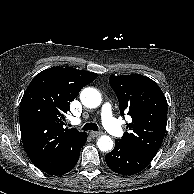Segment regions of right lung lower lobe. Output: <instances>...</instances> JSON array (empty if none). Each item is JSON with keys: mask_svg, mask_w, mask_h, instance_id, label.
I'll list each match as a JSON object with an SVG mask.
<instances>
[{"mask_svg": "<svg viewBox=\"0 0 194 194\" xmlns=\"http://www.w3.org/2000/svg\"><path fill=\"white\" fill-rule=\"evenodd\" d=\"M86 139L87 133L82 137L78 145L64 159H62L56 165L51 166L47 169H43L42 171L50 175H60L71 171L78 161L81 147L85 144Z\"/></svg>", "mask_w": 194, "mask_h": 194, "instance_id": "obj_1", "label": "right lung lower lobe"}]
</instances>
